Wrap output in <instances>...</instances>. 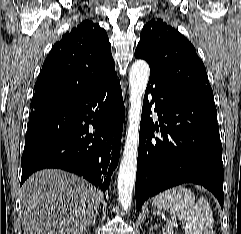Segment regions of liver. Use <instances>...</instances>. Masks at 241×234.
<instances>
[{
	"label": "liver",
	"instance_id": "1",
	"mask_svg": "<svg viewBox=\"0 0 241 234\" xmlns=\"http://www.w3.org/2000/svg\"><path fill=\"white\" fill-rule=\"evenodd\" d=\"M20 196L23 234H82L101 202L98 189L59 169L31 175Z\"/></svg>",
	"mask_w": 241,
	"mask_h": 234
}]
</instances>
